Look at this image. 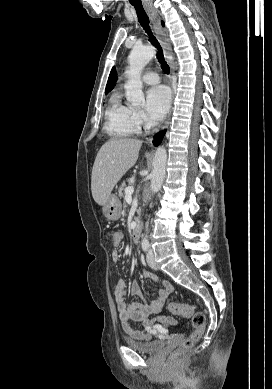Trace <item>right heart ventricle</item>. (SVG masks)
I'll use <instances>...</instances> for the list:
<instances>
[{"mask_svg": "<svg viewBox=\"0 0 272 389\" xmlns=\"http://www.w3.org/2000/svg\"><path fill=\"white\" fill-rule=\"evenodd\" d=\"M134 110L123 103L121 94L114 93L105 111V130L115 138H125L138 132Z\"/></svg>", "mask_w": 272, "mask_h": 389, "instance_id": "right-heart-ventricle-1", "label": "right heart ventricle"}]
</instances>
